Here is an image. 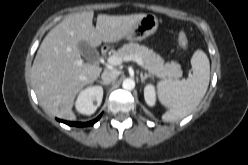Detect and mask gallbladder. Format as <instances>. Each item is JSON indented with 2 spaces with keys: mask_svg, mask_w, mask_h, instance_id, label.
Instances as JSON below:
<instances>
[{
  "mask_svg": "<svg viewBox=\"0 0 248 165\" xmlns=\"http://www.w3.org/2000/svg\"><path fill=\"white\" fill-rule=\"evenodd\" d=\"M80 49L85 58H87L90 62H94L98 59L97 50L88 45L86 42L80 43Z\"/></svg>",
  "mask_w": 248,
  "mask_h": 165,
  "instance_id": "1",
  "label": "gallbladder"
}]
</instances>
